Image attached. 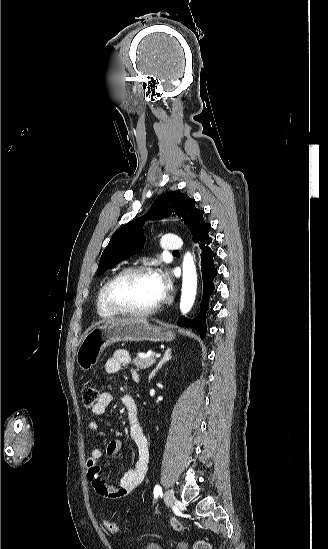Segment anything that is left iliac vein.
<instances>
[{
    "label": "left iliac vein",
    "mask_w": 328,
    "mask_h": 549,
    "mask_svg": "<svg viewBox=\"0 0 328 549\" xmlns=\"http://www.w3.org/2000/svg\"><path fill=\"white\" fill-rule=\"evenodd\" d=\"M164 499H165L166 506L168 508H170L172 506L173 502H174L173 493L170 490L166 491V493L164 495Z\"/></svg>",
    "instance_id": "1"
}]
</instances>
